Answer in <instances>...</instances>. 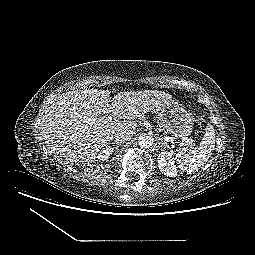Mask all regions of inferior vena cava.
I'll return each mask as SVG.
<instances>
[{
    "label": "inferior vena cava",
    "mask_w": 255,
    "mask_h": 255,
    "mask_svg": "<svg viewBox=\"0 0 255 255\" xmlns=\"http://www.w3.org/2000/svg\"><path fill=\"white\" fill-rule=\"evenodd\" d=\"M133 135V130L131 129H123V130H119L115 133V139L116 141L119 142H125V141H129L131 139Z\"/></svg>",
    "instance_id": "obj_1"
}]
</instances>
